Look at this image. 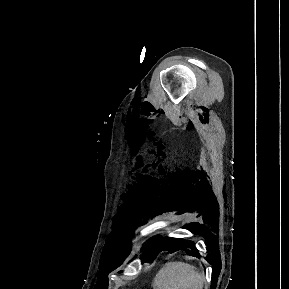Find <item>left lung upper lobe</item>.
Segmentation results:
<instances>
[{
    "instance_id": "1",
    "label": "left lung upper lobe",
    "mask_w": 289,
    "mask_h": 289,
    "mask_svg": "<svg viewBox=\"0 0 289 289\" xmlns=\"http://www.w3.org/2000/svg\"><path fill=\"white\" fill-rule=\"evenodd\" d=\"M147 244L149 245V248L144 252L142 260L152 262L156 256L164 249L165 244L162 243L161 238L157 236L148 240Z\"/></svg>"
}]
</instances>
